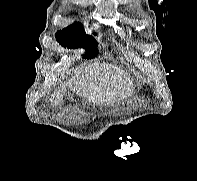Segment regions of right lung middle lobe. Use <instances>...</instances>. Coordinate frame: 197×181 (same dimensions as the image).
Returning a JSON list of instances; mask_svg holds the SVG:
<instances>
[{
	"mask_svg": "<svg viewBox=\"0 0 197 181\" xmlns=\"http://www.w3.org/2000/svg\"><path fill=\"white\" fill-rule=\"evenodd\" d=\"M95 34V33H94ZM60 45L76 49L82 47L86 50L83 58H93L98 54V43L93 36L87 35L81 23L74 24L59 30L55 34Z\"/></svg>",
	"mask_w": 197,
	"mask_h": 181,
	"instance_id": "right-lung-middle-lobe-1",
	"label": "right lung middle lobe"
}]
</instances>
